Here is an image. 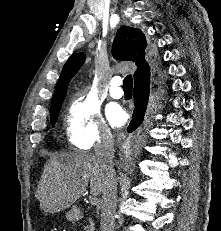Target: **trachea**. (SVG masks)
<instances>
[{"label": "trachea", "mask_w": 221, "mask_h": 231, "mask_svg": "<svg viewBox=\"0 0 221 231\" xmlns=\"http://www.w3.org/2000/svg\"><path fill=\"white\" fill-rule=\"evenodd\" d=\"M133 88V79L132 75H128L125 77L123 81V90L124 91H132Z\"/></svg>", "instance_id": "obj_1"}]
</instances>
